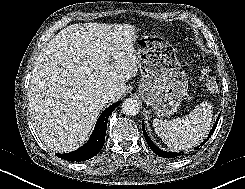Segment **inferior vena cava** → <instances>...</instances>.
<instances>
[{
  "mask_svg": "<svg viewBox=\"0 0 245 189\" xmlns=\"http://www.w3.org/2000/svg\"><path fill=\"white\" fill-rule=\"evenodd\" d=\"M113 94H114L113 89H106L103 93V98L105 100H110L112 98Z\"/></svg>",
  "mask_w": 245,
  "mask_h": 189,
  "instance_id": "1",
  "label": "inferior vena cava"
}]
</instances>
